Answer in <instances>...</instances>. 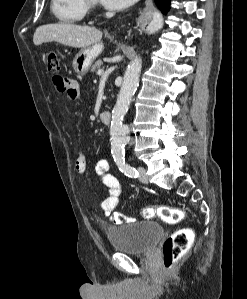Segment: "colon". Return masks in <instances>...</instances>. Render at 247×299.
<instances>
[{"instance_id":"1","label":"colon","mask_w":247,"mask_h":299,"mask_svg":"<svg viewBox=\"0 0 247 299\" xmlns=\"http://www.w3.org/2000/svg\"><path fill=\"white\" fill-rule=\"evenodd\" d=\"M48 70H57L59 66L57 54L49 50L45 53ZM144 218H159L169 224L179 223L184 218V212L178 207L159 205L147 207L142 210ZM194 239V233L190 228H180L172 233L163 243V263L166 268H171L189 250Z\"/></svg>"}]
</instances>
